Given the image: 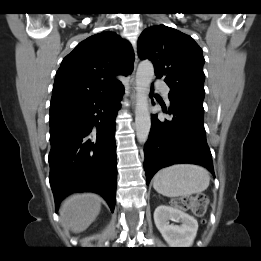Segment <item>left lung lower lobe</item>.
<instances>
[{"label":"left lung lower lobe","mask_w":261,"mask_h":261,"mask_svg":"<svg viewBox=\"0 0 261 261\" xmlns=\"http://www.w3.org/2000/svg\"><path fill=\"white\" fill-rule=\"evenodd\" d=\"M169 99L167 113L173 115L171 120L159 119L157 114L151 116L149 139L144 147L147 184L159 169L178 163L198 164L214 174L203 104L183 96Z\"/></svg>","instance_id":"left-lung-lower-lobe-1"}]
</instances>
